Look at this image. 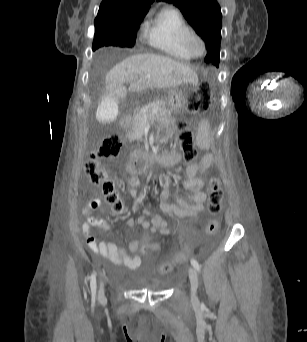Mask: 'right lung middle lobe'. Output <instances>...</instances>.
Here are the masks:
<instances>
[{"mask_svg":"<svg viewBox=\"0 0 307 342\" xmlns=\"http://www.w3.org/2000/svg\"><path fill=\"white\" fill-rule=\"evenodd\" d=\"M136 33H118L95 30L93 50L102 46L132 47L135 43Z\"/></svg>","mask_w":307,"mask_h":342,"instance_id":"1","label":"right lung middle lobe"}]
</instances>
